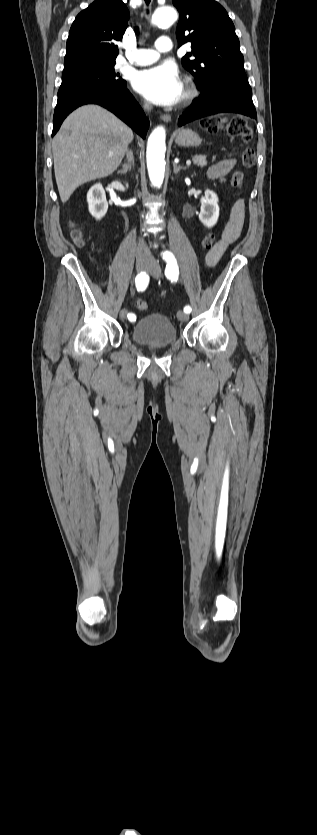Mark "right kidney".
I'll return each instance as SVG.
<instances>
[{
    "label": "right kidney",
    "instance_id": "right-kidney-1",
    "mask_svg": "<svg viewBox=\"0 0 317 835\" xmlns=\"http://www.w3.org/2000/svg\"><path fill=\"white\" fill-rule=\"evenodd\" d=\"M89 212L97 220L105 216L108 210V203L104 188L100 183L93 185L87 193Z\"/></svg>",
    "mask_w": 317,
    "mask_h": 835
}]
</instances>
